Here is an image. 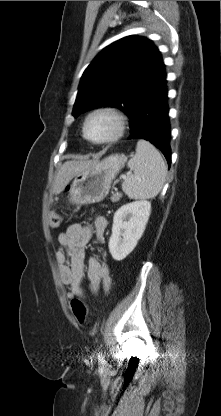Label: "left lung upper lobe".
Here are the masks:
<instances>
[{
	"label": "left lung upper lobe",
	"instance_id": "left-lung-upper-lobe-1",
	"mask_svg": "<svg viewBox=\"0 0 221 416\" xmlns=\"http://www.w3.org/2000/svg\"><path fill=\"white\" fill-rule=\"evenodd\" d=\"M164 64L143 37L122 38L100 52L84 71L73 115L100 106L125 112L132 122L138 103L158 81Z\"/></svg>",
	"mask_w": 221,
	"mask_h": 416
}]
</instances>
